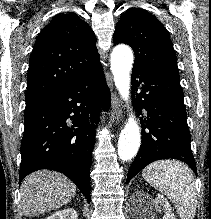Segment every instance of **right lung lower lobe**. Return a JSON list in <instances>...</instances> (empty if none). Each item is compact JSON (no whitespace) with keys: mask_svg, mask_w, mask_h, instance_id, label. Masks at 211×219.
Wrapping results in <instances>:
<instances>
[{"mask_svg":"<svg viewBox=\"0 0 211 219\" xmlns=\"http://www.w3.org/2000/svg\"><path fill=\"white\" fill-rule=\"evenodd\" d=\"M111 95L102 67L48 97L26 105L19 184L39 169L69 177L90 202V167L101 107Z\"/></svg>","mask_w":211,"mask_h":219,"instance_id":"98d812e1","label":"right lung lower lobe"}]
</instances>
